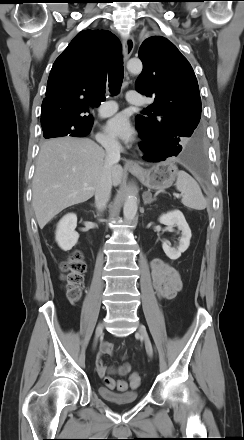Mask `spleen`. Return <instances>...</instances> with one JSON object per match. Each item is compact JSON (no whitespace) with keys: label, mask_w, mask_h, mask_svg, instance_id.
I'll return each instance as SVG.
<instances>
[{"label":"spleen","mask_w":244,"mask_h":440,"mask_svg":"<svg viewBox=\"0 0 244 440\" xmlns=\"http://www.w3.org/2000/svg\"><path fill=\"white\" fill-rule=\"evenodd\" d=\"M175 185L182 193L181 202L184 206L195 210H204L207 207V201L198 183L188 173L178 171Z\"/></svg>","instance_id":"1"}]
</instances>
